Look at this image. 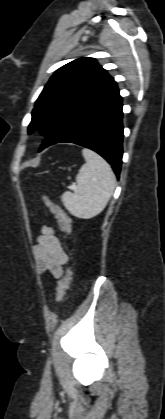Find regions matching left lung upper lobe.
<instances>
[{
	"mask_svg": "<svg viewBox=\"0 0 165 419\" xmlns=\"http://www.w3.org/2000/svg\"><path fill=\"white\" fill-rule=\"evenodd\" d=\"M113 82L94 58H79L62 66L36 100L28 132L38 129L48 136L78 105Z\"/></svg>",
	"mask_w": 165,
	"mask_h": 419,
	"instance_id": "obj_1",
	"label": "left lung upper lobe"
}]
</instances>
